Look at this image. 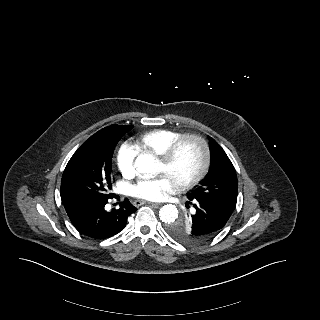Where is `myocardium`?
Returning a JSON list of instances; mask_svg holds the SVG:
<instances>
[{
    "label": "myocardium",
    "instance_id": "1",
    "mask_svg": "<svg viewBox=\"0 0 320 320\" xmlns=\"http://www.w3.org/2000/svg\"><path fill=\"white\" fill-rule=\"evenodd\" d=\"M186 141H195L200 148L201 151V164L198 169V171L191 176L190 178L178 182L175 184V188L177 190H186L189 189L193 186H195L197 183H199L207 174V171L209 169L210 165V148L207 140L200 134L196 133H189V134H184L181 135L177 140H175L167 149L166 151L160 156V160L163 164L166 166L171 165L181 146L186 142Z\"/></svg>",
    "mask_w": 320,
    "mask_h": 320
}]
</instances>
